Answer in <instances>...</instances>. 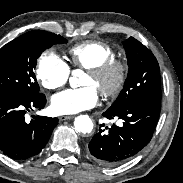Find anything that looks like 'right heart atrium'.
<instances>
[{"label": "right heart atrium", "mask_w": 183, "mask_h": 183, "mask_svg": "<svg viewBox=\"0 0 183 183\" xmlns=\"http://www.w3.org/2000/svg\"><path fill=\"white\" fill-rule=\"evenodd\" d=\"M35 75L42 87L55 90L67 83L70 69L56 52L48 50L38 58Z\"/></svg>", "instance_id": "obj_1"}]
</instances>
